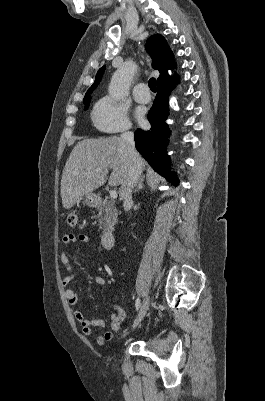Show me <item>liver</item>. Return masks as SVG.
I'll return each mask as SVG.
<instances>
[{"label": "liver", "instance_id": "6515ba94", "mask_svg": "<svg viewBox=\"0 0 265 401\" xmlns=\"http://www.w3.org/2000/svg\"><path fill=\"white\" fill-rule=\"evenodd\" d=\"M132 160L126 144L119 136L84 138L75 144L64 166L61 178V196L64 209H72L80 196L93 194V190L106 182L109 168H113L108 184L118 186L123 198V184L129 180ZM139 166L144 170L145 160L139 156Z\"/></svg>", "mask_w": 265, "mask_h": 401}]
</instances>
